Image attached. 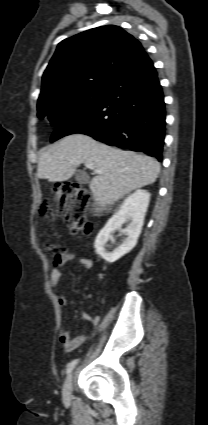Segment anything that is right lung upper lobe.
<instances>
[{"label":"right lung upper lobe","mask_w":208,"mask_h":425,"mask_svg":"<svg viewBox=\"0 0 208 425\" xmlns=\"http://www.w3.org/2000/svg\"><path fill=\"white\" fill-rule=\"evenodd\" d=\"M147 55L121 27L93 28L61 41L42 77L39 101L83 89H106Z\"/></svg>","instance_id":"obj_1"}]
</instances>
